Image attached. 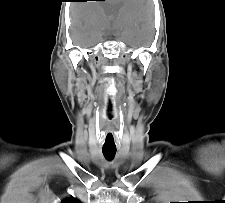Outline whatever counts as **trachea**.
<instances>
[{
	"label": "trachea",
	"instance_id": "1",
	"mask_svg": "<svg viewBox=\"0 0 225 203\" xmlns=\"http://www.w3.org/2000/svg\"><path fill=\"white\" fill-rule=\"evenodd\" d=\"M102 152L107 160H112L116 154V150H102Z\"/></svg>",
	"mask_w": 225,
	"mask_h": 203
}]
</instances>
